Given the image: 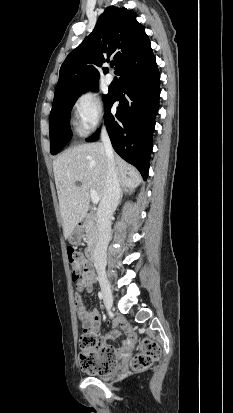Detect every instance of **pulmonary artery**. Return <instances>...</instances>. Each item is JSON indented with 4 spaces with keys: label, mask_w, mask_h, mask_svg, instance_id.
<instances>
[{
    "label": "pulmonary artery",
    "mask_w": 233,
    "mask_h": 413,
    "mask_svg": "<svg viewBox=\"0 0 233 413\" xmlns=\"http://www.w3.org/2000/svg\"><path fill=\"white\" fill-rule=\"evenodd\" d=\"M104 81L106 84H111L113 82V76L111 74H106Z\"/></svg>",
    "instance_id": "1"
}]
</instances>
